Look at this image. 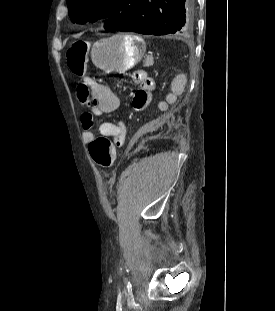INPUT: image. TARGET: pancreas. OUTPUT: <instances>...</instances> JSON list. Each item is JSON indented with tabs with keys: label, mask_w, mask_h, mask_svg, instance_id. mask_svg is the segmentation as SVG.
Masks as SVG:
<instances>
[{
	"label": "pancreas",
	"mask_w": 275,
	"mask_h": 311,
	"mask_svg": "<svg viewBox=\"0 0 275 311\" xmlns=\"http://www.w3.org/2000/svg\"><path fill=\"white\" fill-rule=\"evenodd\" d=\"M144 64H145V65L147 64V59L145 60Z\"/></svg>",
	"instance_id": "pancreas-1"
}]
</instances>
